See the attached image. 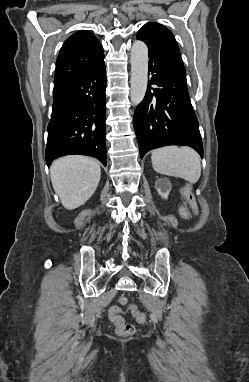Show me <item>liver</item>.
<instances>
[{"label":"liver","mask_w":249,"mask_h":382,"mask_svg":"<svg viewBox=\"0 0 249 382\" xmlns=\"http://www.w3.org/2000/svg\"><path fill=\"white\" fill-rule=\"evenodd\" d=\"M50 176L62 205L73 210L91 198L99 184L101 169L95 159L70 155L52 163Z\"/></svg>","instance_id":"liver-1"}]
</instances>
